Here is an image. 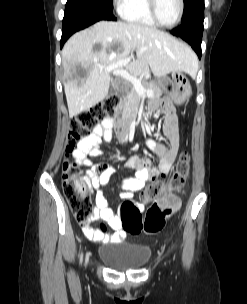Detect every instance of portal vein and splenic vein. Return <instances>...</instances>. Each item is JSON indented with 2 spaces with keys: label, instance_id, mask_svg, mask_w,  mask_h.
<instances>
[{
  "label": "portal vein and splenic vein",
  "instance_id": "1",
  "mask_svg": "<svg viewBox=\"0 0 247 304\" xmlns=\"http://www.w3.org/2000/svg\"><path fill=\"white\" fill-rule=\"evenodd\" d=\"M132 59V55L127 57L124 60L118 61L116 63H113L111 65H108L104 67V69L108 72H112L114 75H119L125 79H127L129 82L132 83L134 90L140 95L153 97L154 93L152 90H147L142 85L141 81L137 79L136 77L132 76L128 71L124 70L123 67L127 65Z\"/></svg>",
  "mask_w": 247,
  "mask_h": 304
}]
</instances>
